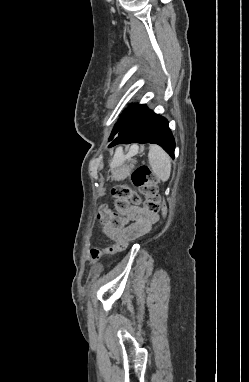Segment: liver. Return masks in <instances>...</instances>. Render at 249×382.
Masks as SVG:
<instances>
[{"label": "liver", "mask_w": 249, "mask_h": 382, "mask_svg": "<svg viewBox=\"0 0 249 382\" xmlns=\"http://www.w3.org/2000/svg\"><path fill=\"white\" fill-rule=\"evenodd\" d=\"M137 152H138V147H137V146H133V147H131V149H130L128 155L125 157V156L123 155V151H122V149L119 148V149L116 151V153H115V156H114V160H113V161L116 162V161H118V160L125 159V158H127V157H131V156L135 155Z\"/></svg>", "instance_id": "liver-1"}]
</instances>
